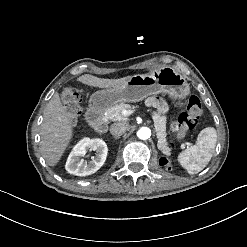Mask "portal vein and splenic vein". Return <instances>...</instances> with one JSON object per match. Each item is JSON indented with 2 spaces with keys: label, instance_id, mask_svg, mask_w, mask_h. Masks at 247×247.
I'll return each instance as SVG.
<instances>
[{
  "label": "portal vein and splenic vein",
  "instance_id": "portal-vein-and-splenic-vein-1",
  "mask_svg": "<svg viewBox=\"0 0 247 247\" xmlns=\"http://www.w3.org/2000/svg\"><path fill=\"white\" fill-rule=\"evenodd\" d=\"M184 145H185V146L192 147V146H193V143H192V142L185 141V142H184Z\"/></svg>",
  "mask_w": 247,
  "mask_h": 247
}]
</instances>
